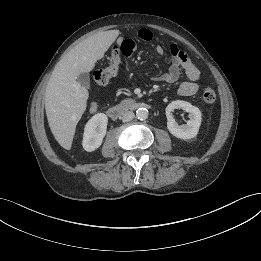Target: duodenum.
Listing matches in <instances>:
<instances>
[{"instance_id":"410a0bca","label":"duodenum","mask_w":261,"mask_h":261,"mask_svg":"<svg viewBox=\"0 0 261 261\" xmlns=\"http://www.w3.org/2000/svg\"><path fill=\"white\" fill-rule=\"evenodd\" d=\"M148 107L149 105L144 102L127 101L123 104L110 107L107 113L110 118H112L113 120H117L127 111Z\"/></svg>"}]
</instances>
